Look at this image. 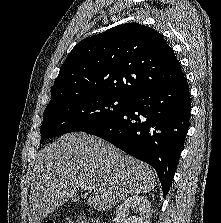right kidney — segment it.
<instances>
[{"label":"right kidney","instance_id":"right-kidney-1","mask_svg":"<svg viewBox=\"0 0 221 223\" xmlns=\"http://www.w3.org/2000/svg\"><path fill=\"white\" fill-rule=\"evenodd\" d=\"M151 205L146 197L133 195L125 199L116 211L118 223H150ZM139 215L129 216V209Z\"/></svg>","mask_w":221,"mask_h":223}]
</instances>
